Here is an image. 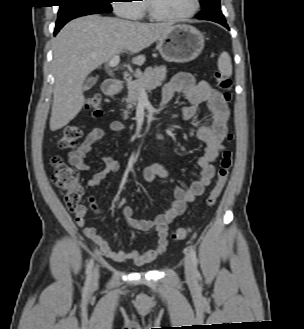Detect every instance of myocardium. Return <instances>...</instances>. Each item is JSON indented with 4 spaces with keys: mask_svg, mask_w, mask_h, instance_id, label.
Listing matches in <instances>:
<instances>
[{
    "mask_svg": "<svg viewBox=\"0 0 304 329\" xmlns=\"http://www.w3.org/2000/svg\"><path fill=\"white\" fill-rule=\"evenodd\" d=\"M145 1V6H146V11L148 15L156 21H161V22H179L186 20L192 16H194L200 8V0H193V7L192 9L182 15H177V16H168L159 13L153 3V0H144Z\"/></svg>",
    "mask_w": 304,
    "mask_h": 329,
    "instance_id": "1",
    "label": "myocardium"
}]
</instances>
